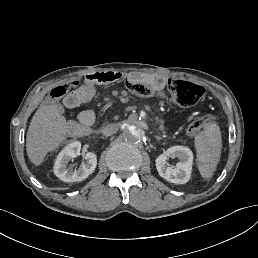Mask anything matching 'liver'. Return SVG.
<instances>
[{"instance_id":"obj_1","label":"liver","mask_w":258,"mask_h":258,"mask_svg":"<svg viewBox=\"0 0 258 258\" xmlns=\"http://www.w3.org/2000/svg\"><path fill=\"white\" fill-rule=\"evenodd\" d=\"M72 122L66 123L58 104L41 106L33 116L27 133L29 159L38 165L48 151L54 150L66 137Z\"/></svg>"}]
</instances>
